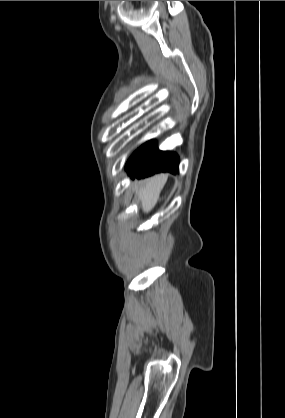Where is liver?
<instances>
[{
    "label": "liver",
    "mask_w": 285,
    "mask_h": 418,
    "mask_svg": "<svg viewBox=\"0 0 285 418\" xmlns=\"http://www.w3.org/2000/svg\"><path fill=\"white\" fill-rule=\"evenodd\" d=\"M167 178V174H158L143 182L135 181L133 183L132 188L137 195L138 202L144 213H149L155 206Z\"/></svg>",
    "instance_id": "liver-1"
}]
</instances>
